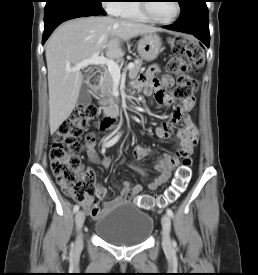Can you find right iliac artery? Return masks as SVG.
I'll return each instance as SVG.
<instances>
[{
	"mask_svg": "<svg viewBox=\"0 0 258 275\" xmlns=\"http://www.w3.org/2000/svg\"><path fill=\"white\" fill-rule=\"evenodd\" d=\"M120 136H121V133H118L115 137H113L110 141H108L105 144V147H111L112 145H114L119 140ZM78 210H79V205H75L73 208V211L77 212Z\"/></svg>",
	"mask_w": 258,
	"mask_h": 275,
	"instance_id": "right-iliac-artery-1",
	"label": "right iliac artery"
}]
</instances>
